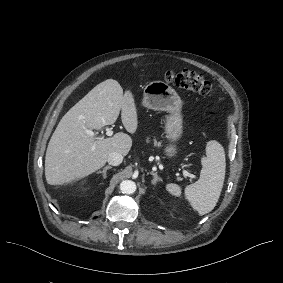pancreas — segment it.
Segmentation results:
<instances>
[{
  "label": "pancreas",
  "instance_id": "cf45deb5",
  "mask_svg": "<svg viewBox=\"0 0 283 283\" xmlns=\"http://www.w3.org/2000/svg\"><path fill=\"white\" fill-rule=\"evenodd\" d=\"M153 143L154 147L157 149H160L163 147V140L162 139H157L156 136H153Z\"/></svg>",
  "mask_w": 283,
  "mask_h": 283
}]
</instances>
